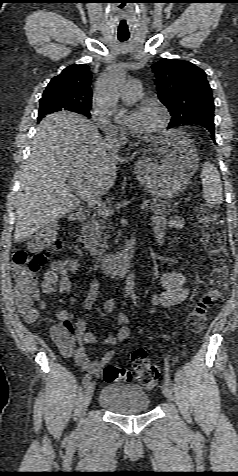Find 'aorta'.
Masks as SVG:
<instances>
[{
    "label": "aorta",
    "mask_w": 238,
    "mask_h": 476,
    "mask_svg": "<svg viewBox=\"0 0 238 476\" xmlns=\"http://www.w3.org/2000/svg\"><path fill=\"white\" fill-rule=\"evenodd\" d=\"M124 80V71L120 67L110 69L104 76L96 91V102L108 115H123L126 110L118 105L120 87ZM134 275L128 274L125 283V297L134 289Z\"/></svg>",
    "instance_id": "aorta-1"
}]
</instances>
